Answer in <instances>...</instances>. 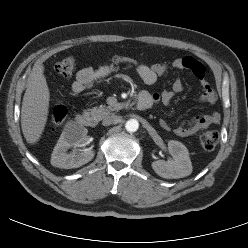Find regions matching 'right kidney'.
<instances>
[{
	"label": "right kidney",
	"instance_id": "1",
	"mask_svg": "<svg viewBox=\"0 0 248 248\" xmlns=\"http://www.w3.org/2000/svg\"><path fill=\"white\" fill-rule=\"evenodd\" d=\"M87 129L84 127L66 128L51 156V164L58 168L71 169L78 168L91 161L94 157L92 150L67 153L70 147L84 146L86 143Z\"/></svg>",
	"mask_w": 248,
	"mask_h": 248
}]
</instances>
